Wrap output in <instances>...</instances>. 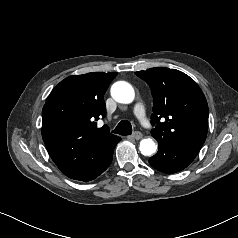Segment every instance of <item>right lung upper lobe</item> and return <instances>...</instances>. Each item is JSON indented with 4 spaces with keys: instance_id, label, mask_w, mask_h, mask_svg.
<instances>
[{
    "instance_id": "obj_1",
    "label": "right lung upper lobe",
    "mask_w": 238,
    "mask_h": 238,
    "mask_svg": "<svg viewBox=\"0 0 238 238\" xmlns=\"http://www.w3.org/2000/svg\"><path fill=\"white\" fill-rule=\"evenodd\" d=\"M117 73L92 72L62 80L42 110V137L49 154L67 177L82 180L94 173L103 157L121 140L104 126V94Z\"/></svg>"
}]
</instances>
